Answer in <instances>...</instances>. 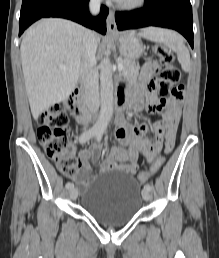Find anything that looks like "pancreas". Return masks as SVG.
Wrapping results in <instances>:
<instances>
[{"mask_svg": "<svg viewBox=\"0 0 219 258\" xmlns=\"http://www.w3.org/2000/svg\"><path fill=\"white\" fill-rule=\"evenodd\" d=\"M119 64L124 66V69L121 71V75L125 79H135L139 73V64L136 63L134 60L131 59H121Z\"/></svg>", "mask_w": 219, "mask_h": 258, "instance_id": "1", "label": "pancreas"}]
</instances>
